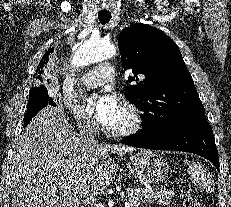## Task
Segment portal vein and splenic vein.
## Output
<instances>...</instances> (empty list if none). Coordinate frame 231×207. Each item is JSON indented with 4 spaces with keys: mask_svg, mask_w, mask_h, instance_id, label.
Masks as SVG:
<instances>
[{
    "mask_svg": "<svg viewBox=\"0 0 231 207\" xmlns=\"http://www.w3.org/2000/svg\"><path fill=\"white\" fill-rule=\"evenodd\" d=\"M124 205H125V207H132V203H130V202H125Z\"/></svg>",
    "mask_w": 231,
    "mask_h": 207,
    "instance_id": "portal-vein-and-splenic-vein-1",
    "label": "portal vein and splenic vein"
}]
</instances>
